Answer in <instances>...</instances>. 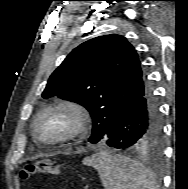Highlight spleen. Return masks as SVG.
<instances>
[{
	"label": "spleen",
	"mask_w": 188,
	"mask_h": 189,
	"mask_svg": "<svg viewBox=\"0 0 188 189\" xmlns=\"http://www.w3.org/2000/svg\"><path fill=\"white\" fill-rule=\"evenodd\" d=\"M83 164L98 171L105 189H157L150 170L125 156L100 151L85 158Z\"/></svg>",
	"instance_id": "spleen-1"
}]
</instances>
